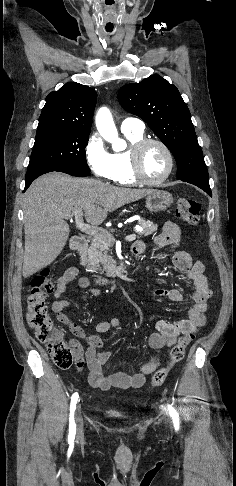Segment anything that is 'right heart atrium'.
<instances>
[{
  "label": "right heart atrium",
  "mask_w": 236,
  "mask_h": 486,
  "mask_svg": "<svg viewBox=\"0 0 236 486\" xmlns=\"http://www.w3.org/2000/svg\"><path fill=\"white\" fill-rule=\"evenodd\" d=\"M84 155L92 172L99 178H112V155L97 134H92L85 145Z\"/></svg>",
  "instance_id": "obj_1"
}]
</instances>
